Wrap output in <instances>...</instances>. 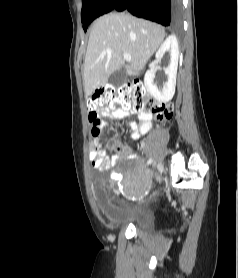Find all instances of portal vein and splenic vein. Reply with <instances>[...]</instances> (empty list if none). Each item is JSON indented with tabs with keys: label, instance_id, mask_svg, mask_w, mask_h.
<instances>
[{
	"label": "portal vein and splenic vein",
	"instance_id": "obj_1",
	"mask_svg": "<svg viewBox=\"0 0 238 278\" xmlns=\"http://www.w3.org/2000/svg\"><path fill=\"white\" fill-rule=\"evenodd\" d=\"M123 58L126 60V61H131V55L129 53H124L123 54Z\"/></svg>",
	"mask_w": 238,
	"mask_h": 278
}]
</instances>
